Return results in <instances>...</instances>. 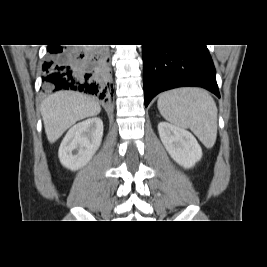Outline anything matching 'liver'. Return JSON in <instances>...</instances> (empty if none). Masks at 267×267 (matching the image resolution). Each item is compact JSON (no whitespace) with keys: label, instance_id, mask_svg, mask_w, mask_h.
<instances>
[{"label":"liver","instance_id":"6515ba94","mask_svg":"<svg viewBox=\"0 0 267 267\" xmlns=\"http://www.w3.org/2000/svg\"><path fill=\"white\" fill-rule=\"evenodd\" d=\"M100 105L78 92L60 91L48 96L41 105V114L47 139L56 142L77 121L95 116Z\"/></svg>","mask_w":267,"mask_h":267}]
</instances>
